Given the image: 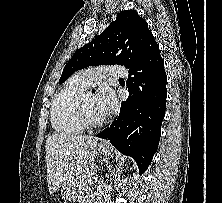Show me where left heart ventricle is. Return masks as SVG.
<instances>
[{"instance_id":"left-heart-ventricle-1","label":"left heart ventricle","mask_w":222,"mask_h":203,"mask_svg":"<svg viewBox=\"0 0 222 203\" xmlns=\"http://www.w3.org/2000/svg\"><path fill=\"white\" fill-rule=\"evenodd\" d=\"M85 109L88 116L93 120H98L105 117L97 106L96 97L93 95H87L85 98Z\"/></svg>"}]
</instances>
